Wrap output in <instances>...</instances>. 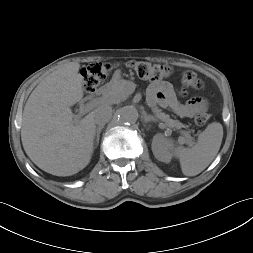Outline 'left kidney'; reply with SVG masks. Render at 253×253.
I'll return each instance as SVG.
<instances>
[{
  "instance_id": "obj_1",
  "label": "left kidney",
  "mask_w": 253,
  "mask_h": 253,
  "mask_svg": "<svg viewBox=\"0 0 253 253\" xmlns=\"http://www.w3.org/2000/svg\"><path fill=\"white\" fill-rule=\"evenodd\" d=\"M173 141L162 134H156L152 141V152L159 161L169 163L173 156Z\"/></svg>"
}]
</instances>
